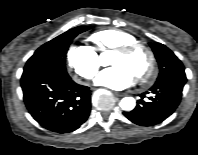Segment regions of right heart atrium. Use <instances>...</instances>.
I'll return each instance as SVG.
<instances>
[{"label":"right heart atrium","mask_w":198,"mask_h":155,"mask_svg":"<svg viewBox=\"0 0 198 155\" xmlns=\"http://www.w3.org/2000/svg\"><path fill=\"white\" fill-rule=\"evenodd\" d=\"M68 69L75 77L92 78L99 69V56L86 44L71 45L66 53Z\"/></svg>","instance_id":"d8ad5b80"}]
</instances>
